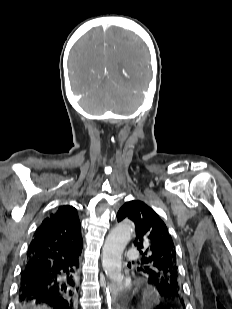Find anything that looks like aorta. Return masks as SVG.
<instances>
[{"mask_svg": "<svg viewBox=\"0 0 232 309\" xmlns=\"http://www.w3.org/2000/svg\"><path fill=\"white\" fill-rule=\"evenodd\" d=\"M133 227L130 223L117 225L108 234L102 253V266L106 275L116 283L123 281L122 254L131 239Z\"/></svg>", "mask_w": 232, "mask_h": 309, "instance_id": "762f6f07", "label": "aorta"}]
</instances>
